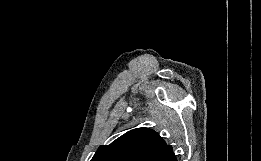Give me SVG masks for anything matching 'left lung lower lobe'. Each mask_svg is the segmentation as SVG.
I'll return each mask as SVG.
<instances>
[{"instance_id":"0a47b994","label":"left lung lower lobe","mask_w":261,"mask_h":161,"mask_svg":"<svg viewBox=\"0 0 261 161\" xmlns=\"http://www.w3.org/2000/svg\"><path fill=\"white\" fill-rule=\"evenodd\" d=\"M154 161H177L172 151V147L169 145L165 150H163Z\"/></svg>"}]
</instances>
